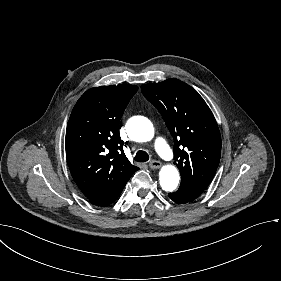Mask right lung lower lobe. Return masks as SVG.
<instances>
[{"label": "right lung lower lobe", "instance_id": "98d812e1", "mask_svg": "<svg viewBox=\"0 0 281 281\" xmlns=\"http://www.w3.org/2000/svg\"><path fill=\"white\" fill-rule=\"evenodd\" d=\"M129 179L130 178H128L124 181H121L112 189L108 190L107 192H105L97 197H94L93 199H89L90 202L97 206H106V205L111 204L119 197L120 193L122 192L123 188L125 187V185Z\"/></svg>", "mask_w": 281, "mask_h": 281}]
</instances>
